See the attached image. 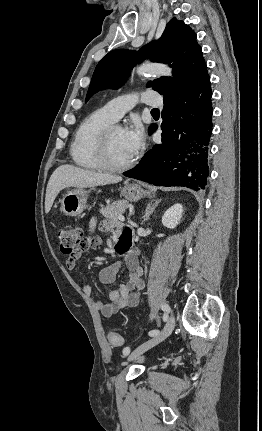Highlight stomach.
<instances>
[{
    "label": "stomach",
    "instance_id": "stomach-1",
    "mask_svg": "<svg viewBox=\"0 0 262 431\" xmlns=\"http://www.w3.org/2000/svg\"><path fill=\"white\" fill-rule=\"evenodd\" d=\"M89 191L84 188H76L68 191L61 200V209L68 216H78L86 208ZM122 196L131 202L139 201L145 196H150L148 190L137 184L126 183L121 189Z\"/></svg>",
    "mask_w": 262,
    "mask_h": 431
}]
</instances>
